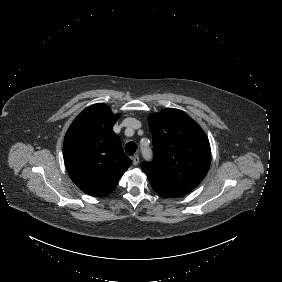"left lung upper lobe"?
I'll use <instances>...</instances> for the list:
<instances>
[{"label":"left lung upper lobe","instance_id":"1","mask_svg":"<svg viewBox=\"0 0 282 282\" xmlns=\"http://www.w3.org/2000/svg\"><path fill=\"white\" fill-rule=\"evenodd\" d=\"M154 159L142 170L158 186L194 189L206 176L211 162L208 138L202 128L178 109L151 114Z\"/></svg>","mask_w":282,"mask_h":282}]
</instances>
